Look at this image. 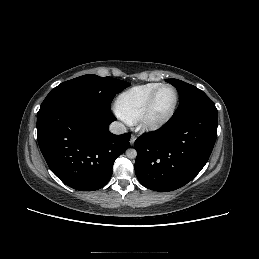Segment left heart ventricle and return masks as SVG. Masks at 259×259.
Wrapping results in <instances>:
<instances>
[{"mask_svg":"<svg viewBox=\"0 0 259 259\" xmlns=\"http://www.w3.org/2000/svg\"><path fill=\"white\" fill-rule=\"evenodd\" d=\"M174 102V93L170 88H163L157 95L154 107L153 115L159 117L169 111Z\"/></svg>","mask_w":259,"mask_h":259,"instance_id":"obj_1","label":"left heart ventricle"}]
</instances>
